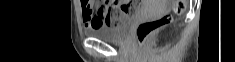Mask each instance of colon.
Segmentation results:
<instances>
[{"instance_id":"5ec220e1","label":"colon","mask_w":235,"mask_h":62,"mask_svg":"<svg viewBox=\"0 0 235 62\" xmlns=\"http://www.w3.org/2000/svg\"><path fill=\"white\" fill-rule=\"evenodd\" d=\"M136 6L135 4H133ZM186 1L185 0H176L174 2L173 12L175 14H181L185 10ZM136 10L137 7H134ZM123 15V10L121 8L115 7L110 11L109 19H108V25H116L120 17ZM172 20V15L167 14L159 18L150 19L143 21L139 24L136 36L137 40L140 45H144L149 37L159 30L160 28L166 26L168 23H170Z\"/></svg>"}]
</instances>
